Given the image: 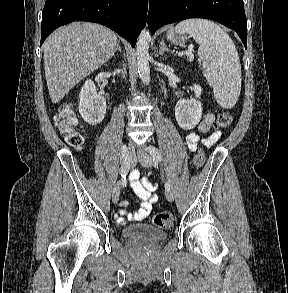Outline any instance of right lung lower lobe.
I'll return each instance as SVG.
<instances>
[{
	"mask_svg": "<svg viewBox=\"0 0 288 293\" xmlns=\"http://www.w3.org/2000/svg\"><path fill=\"white\" fill-rule=\"evenodd\" d=\"M147 7V0H46L40 45L59 26L88 21L109 27L134 47L146 23Z\"/></svg>",
	"mask_w": 288,
	"mask_h": 293,
	"instance_id": "1",
	"label": "right lung lower lobe"
}]
</instances>
